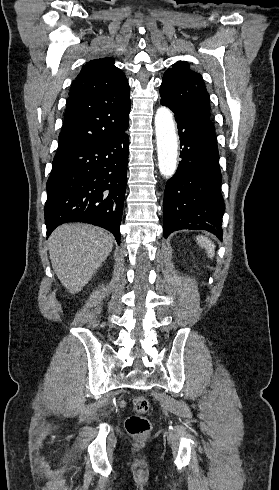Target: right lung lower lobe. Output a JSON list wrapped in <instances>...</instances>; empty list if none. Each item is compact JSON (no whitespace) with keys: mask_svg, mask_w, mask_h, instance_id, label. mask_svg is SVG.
Listing matches in <instances>:
<instances>
[{"mask_svg":"<svg viewBox=\"0 0 279 490\" xmlns=\"http://www.w3.org/2000/svg\"><path fill=\"white\" fill-rule=\"evenodd\" d=\"M128 126L57 156L47 181V237L59 225L85 222L109 230L120 243L128 163Z\"/></svg>","mask_w":279,"mask_h":490,"instance_id":"98d812e1","label":"right lung lower lobe"}]
</instances>
